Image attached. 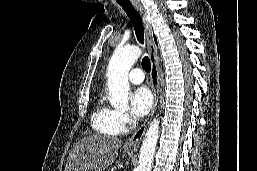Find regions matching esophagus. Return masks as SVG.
<instances>
[{"label":"esophagus","mask_w":257,"mask_h":171,"mask_svg":"<svg viewBox=\"0 0 257 171\" xmlns=\"http://www.w3.org/2000/svg\"><path fill=\"white\" fill-rule=\"evenodd\" d=\"M135 8L138 10L140 15L142 16L143 24L145 27V38L148 47L149 59L151 64V82H152V89L154 93V101L151 112L145 122L135 131L129 141L126 143V148L132 151H136L141 141L144 137V134L150 124L151 119L155 113L158 99H159V88H160V81H159V69H158V55H157V48L154 42L153 33H152V25L149 20V17L140 3H134Z\"/></svg>","instance_id":"1"}]
</instances>
